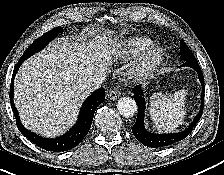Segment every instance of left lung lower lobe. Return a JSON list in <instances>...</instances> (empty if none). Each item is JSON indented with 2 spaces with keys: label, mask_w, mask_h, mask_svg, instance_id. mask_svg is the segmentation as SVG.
I'll return each mask as SVG.
<instances>
[{
  "label": "left lung lower lobe",
  "mask_w": 224,
  "mask_h": 175,
  "mask_svg": "<svg viewBox=\"0 0 224 175\" xmlns=\"http://www.w3.org/2000/svg\"><path fill=\"white\" fill-rule=\"evenodd\" d=\"M181 66H189L195 69L198 73L199 80L203 87V91L201 94V107L199 113L195 116L194 121L190 124V126L179 133L173 134H155L148 132L144 126V110H145V100L143 98V92L141 86H137L134 88V99L138 106V115L136 119V123L132 127V133L140 141L143 145L151 148L155 147H165L169 146L173 143H176L188 136V134L192 131L193 127L199 121L203 112V103H204V77L199 67L198 63H188L184 62Z\"/></svg>",
  "instance_id": "0a47b994"
}]
</instances>
